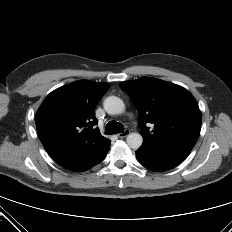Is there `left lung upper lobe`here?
Segmentation results:
<instances>
[{"mask_svg": "<svg viewBox=\"0 0 232 232\" xmlns=\"http://www.w3.org/2000/svg\"><path fill=\"white\" fill-rule=\"evenodd\" d=\"M139 113L143 144L194 146L201 128V114L185 88L156 78L143 77L120 83ZM153 124L151 131L147 125Z\"/></svg>", "mask_w": 232, "mask_h": 232, "instance_id": "obj_1", "label": "left lung upper lobe"}]
</instances>
